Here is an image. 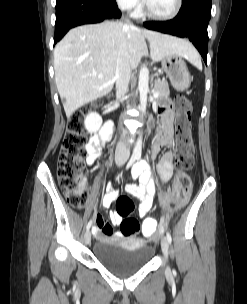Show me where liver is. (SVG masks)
I'll return each instance as SVG.
<instances>
[{"instance_id":"liver-1","label":"liver","mask_w":247,"mask_h":304,"mask_svg":"<svg viewBox=\"0 0 247 304\" xmlns=\"http://www.w3.org/2000/svg\"><path fill=\"white\" fill-rule=\"evenodd\" d=\"M145 39L155 62L169 55L182 56L189 61L198 56L186 40L143 31L121 22L83 25L66 34L54 50V71L67 118L83 105L111 92L122 41L128 48L131 69H136L142 56L148 55Z\"/></svg>"}]
</instances>
